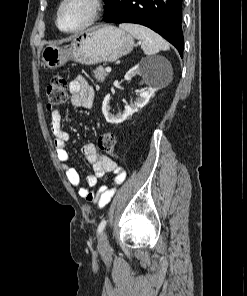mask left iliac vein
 Returning a JSON list of instances; mask_svg holds the SVG:
<instances>
[{"label":"left iliac vein","instance_id":"obj_1","mask_svg":"<svg viewBox=\"0 0 247 296\" xmlns=\"http://www.w3.org/2000/svg\"><path fill=\"white\" fill-rule=\"evenodd\" d=\"M99 247L102 251H106L109 249V242L107 238L106 232H102L99 238Z\"/></svg>","mask_w":247,"mask_h":296}]
</instances>
